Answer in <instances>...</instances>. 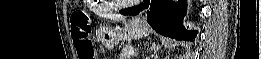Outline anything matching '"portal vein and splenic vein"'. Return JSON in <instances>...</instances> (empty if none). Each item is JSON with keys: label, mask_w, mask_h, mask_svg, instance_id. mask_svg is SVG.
I'll return each mask as SVG.
<instances>
[{"label": "portal vein and splenic vein", "mask_w": 261, "mask_h": 59, "mask_svg": "<svg viewBox=\"0 0 261 59\" xmlns=\"http://www.w3.org/2000/svg\"><path fill=\"white\" fill-rule=\"evenodd\" d=\"M135 54L134 50L129 51V55L133 56Z\"/></svg>", "instance_id": "1"}]
</instances>
